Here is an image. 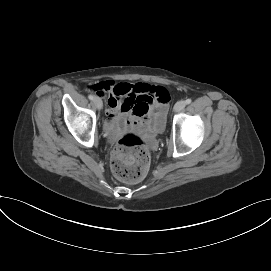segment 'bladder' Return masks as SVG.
<instances>
[{
	"label": "bladder",
	"mask_w": 271,
	"mask_h": 271,
	"mask_svg": "<svg viewBox=\"0 0 271 271\" xmlns=\"http://www.w3.org/2000/svg\"><path fill=\"white\" fill-rule=\"evenodd\" d=\"M163 128V123L159 124L158 126L154 127L153 129L157 130V131H161Z\"/></svg>",
	"instance_id": "bladder-1"
}]
</instances>
